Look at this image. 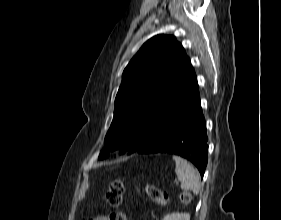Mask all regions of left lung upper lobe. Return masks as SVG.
Returning a JSON list of instances; mask_svg holds the SVG:
<instances>
[{"label":"left lung upper lobe","mask_w":281,"mask_h":220,"mask_svg":"<svg viewBox=\"0 0 281 220\" xmlns=\"http://www.w3.org/2000/svg\"><path fill=\"white\" fill-rule=\"evenodd\" d=\"M194 75L189 57L174 36L148 40L123 72L100 158L107 157L106 149L137 151L148 143Z\"/></svg>","instance_id":"5c2ea615"}]
</instances>
